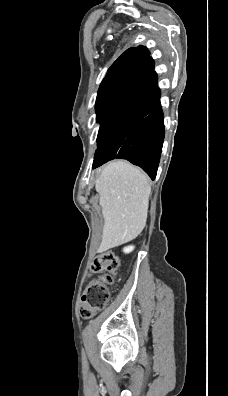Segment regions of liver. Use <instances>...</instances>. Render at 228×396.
I'll return each mask as SVG.
<instances>
[{"instance_id": "1", "label": "liver", "mask_w": 228, "mask_h": 396, "mask_svg": "<svg viewBox=\"0 0 228 396\" xmlns=\"http://www.w3.org/2000/svg\"><path fill=\"white\" fill-rule=\"evenodd\" d=\"M104 217L98 251L104 252L135 239L147 221L151 187L147 175L123 161L109 163L97 178Z\"/></svg>"}]
</instances>
